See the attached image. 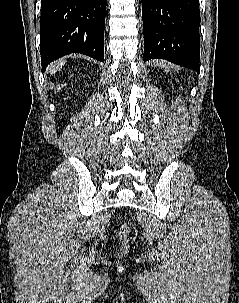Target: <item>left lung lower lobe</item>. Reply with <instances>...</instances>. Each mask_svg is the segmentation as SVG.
Wrapping results in <instances>:
<instances>
[{"label":"left lung lower lobe","instance_id":"obj_1","mask_svg":"<svg viewBox=\"0 0 239 303\" xmlns=\"http://www.w3.org/2000/svg\"><path fill=\"white\" fill-rule=\"evenodd\" d=\"M144 61L166 59L200 72L199 0H142Z\"/></svg>","mask_w":239,"mask_h":303}]
</instances>
